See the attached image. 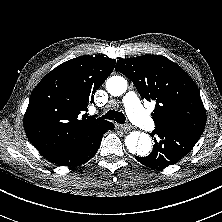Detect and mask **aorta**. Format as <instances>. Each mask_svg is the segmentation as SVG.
<instances>
[{"mask_svg": "<svg viewBox=\"0 0 222 222\" xmlns=\"http://www.w3.org/2000/svg\"><path fill=\"white\" fill-rule=\"evenodd\" d=\"M106 89L113 96H121L127 89V81L121 76H112L107 79ZM125 145L130 153L144 157L151 150V138L145 134L132 132L125 139Z\"/></svg>", "mask_w": 222, "mask_h": 222, "instance_id": "1", "label": "aorta"}]
</instances>
